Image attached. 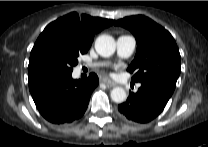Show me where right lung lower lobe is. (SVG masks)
<instances>
[{"label":"right lung lower lobe","instance_id":"1","mask_svg":"<svg viewBox=\"0 0 208 147\" xmlns=\"http://www.w3.org/2000/svg\"><path fill=\"white\" fill-rule=\"evenodd\" d=\"M98 83L94 73L85 80H74L71 74H49L29 80V90L46 120L64 124L82 117Z\"/></svg>","mask_w":208,"mask_h":147}]
</instances>
